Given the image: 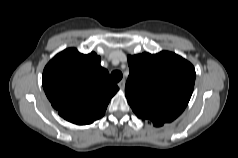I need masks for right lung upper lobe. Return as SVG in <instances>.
<instances>
[{
  "mask_svg": "<svg viewBox=\"0 0 238 158\" xmlns=\"http://www.w3.org/2000/svg\"><path fill=\"white\" fill-rule=\"evenodd\" d=\"M42 84L46 96L65 120L87 125L101 118L118 86L100 66V56L75 48L58 53L46 65Z\"/></svg>",
  "mask_w": 238,
  "mask_h": 158,
  "instance_id": "1",
  "label": "right lung upper lobe"
}]
</instances>
